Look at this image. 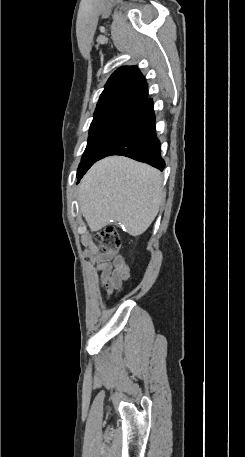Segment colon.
Returning a JSON list of instances; mask_svg holds the SVG:
<instances>
[{
	"label": "colon",
	"instance_id": "colon-1",
	"mask_svg": "<svg viewBox=\"0 0 245 457\" xmlns=\"http://www.w3.org/2000/svg\"><path fill=\"white\" fill-rule=\"evenodd\" d=\"M94 240L102 248L105 255L113 254L121 247V237L117 228L114 226H108L98 232Z\"/></svg>",
	"mask_w": 245,
	"mask_h": 457
}]
</instances>
